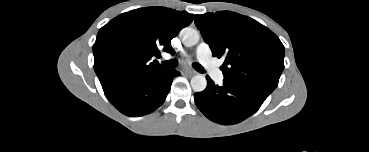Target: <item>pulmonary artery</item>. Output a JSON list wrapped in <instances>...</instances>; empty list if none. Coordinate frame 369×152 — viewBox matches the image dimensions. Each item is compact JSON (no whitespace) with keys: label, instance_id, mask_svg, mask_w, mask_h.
<instances>
[{"label":"pulmonary artery","instance_id":"e3ab8cb5","mask_svg":"<svg viewBox=\"0 0 369 152\" xmlns=\"http://www.w3.org/2000/svg\"><path fill=\"white\" fill-rule=\"evenodd\" d=\"M196 56L201 65L207 70L209 75L216 81L220 82L223 79L222 72L217 67L212 58L211 49L205 42L200 43L196 48Z\"/></svg>","mask_w":369,"mask_h":152}]
</instances>
